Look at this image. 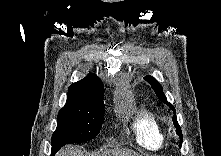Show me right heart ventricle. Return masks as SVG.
<instances>
[{"instance_id": "1", "label": "right heart ventricle", "mask_w": 221, "mask_h": 156, "mask_svg": "<svg viewBox=\"0 0 221 156\" xmlns=\"http://www.w3.org/2000/svg\"><path fill=\"white\" fill-rule=\"evenodd\" d=\"M136 142L147 150L161 149L167 139L165 129L155 114L149 111L140 112L133 123Z\"/></svg>"}]
</instances>
